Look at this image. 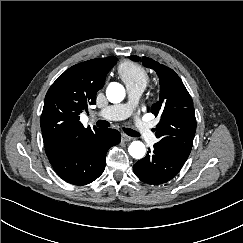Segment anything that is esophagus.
<instances>
[{"label": "esophagus", "instance_id": "1", "mask_svg": "<svg viewBox=\"0 0 243 243\" xmlns=\"http://www.w3.org/2000/svg\"><path fill=\"white\" fill-rule=\"evenodd\" d=\"M121 138H122V141H125V142H129L132 140V137H130L126 134H122Z\"/></svg>", "mask_w": 243, "mask_h": 243}]
</instances>
